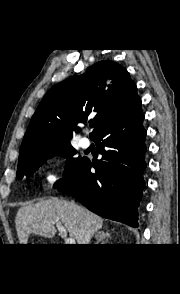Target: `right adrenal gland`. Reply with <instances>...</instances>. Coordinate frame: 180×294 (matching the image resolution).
Instances as JSON below:
<instances>
[{
  "instance_id": "obj_1",
  "label": "right adrenal gland",
  "mask_w": 180,
  "mask_h": 294,
  "mask_svg": "<svg viewBox=\"0 0 180 294\" xmlns=\"http://www.w3.org/2000/svg\"><path fill=\"white\" fill-rule=\"evenodd\" d=\"M95 237L97 239L96 244H99L100 242L104 243V240L108 239L110 237V235L108 232L100 231L96 234Z\"/></svg>"
}]
</instances>
